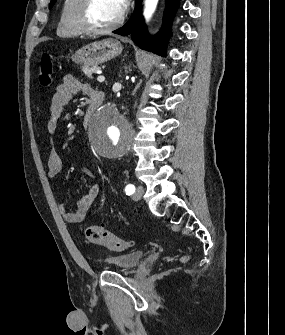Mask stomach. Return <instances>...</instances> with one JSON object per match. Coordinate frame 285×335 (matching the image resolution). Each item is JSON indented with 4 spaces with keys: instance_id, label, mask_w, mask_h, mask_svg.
<instances>
[{
    "instance_id": "0dacf381",
    "label": "stomach",
    "mask_w": 285,
    "mask_h": 335,
    "mask_svg": "<svg viewBox=\"0 0 285 335\" xmlns=\"http://www.w3.org/2000/svg\"><path fill=\"white\" fill-rule=\"evenodd\" d=\"M122 50V44L118 40L107 38V40L92 42L88 46H83L71 56V60L79 66H99V64H104V62L119 56Z\"/></svg>"
}]
</instances>
